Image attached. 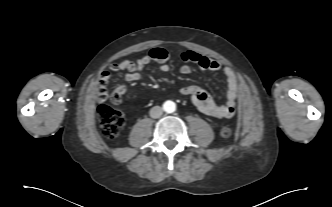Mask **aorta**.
I'll return each instance as SVG.
<instances>
[{
    "label": "aorta",
    "mask_w": 332,
    "mask_h": 207,
    "mask_svg": "<svg viewBox=\"0 0 332 207\" xmlns=\"http://www.w3.org/2000/svg\"><path fill=\"white\" fill-rule=\"evenodd\" d=\"M163 110L166 113H173L176 110V104L173 101H165L163 104Z\"/></svg>",
    "instance_id": "1"
}]
</instances>
